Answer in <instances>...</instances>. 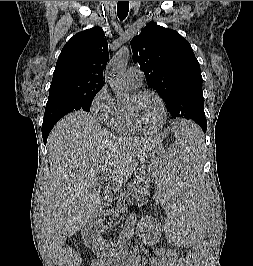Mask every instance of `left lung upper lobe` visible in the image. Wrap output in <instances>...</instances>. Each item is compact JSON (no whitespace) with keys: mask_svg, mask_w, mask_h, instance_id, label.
<instances>
[{"mask_svg":"<svg viewBox=\"0 0 253 266\" xmlns=\"http://www.w3.org/2000/svg\"><path fill=\"white\" fill-rule=\"evenodd\" d=\"M133 60L149 86L163 98L173 118H189L207 127L200 65L178 32L149 22L131 40Z\"/></svg>","mask_w":253,"mask_h":266,"instance_id":"5c2ea615","label":"left lung upper lobe"}]
</instances>
